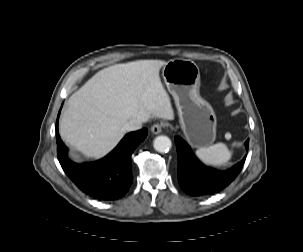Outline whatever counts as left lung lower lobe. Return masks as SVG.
Returning a JSON list of instances; mask_svg holds the SVG:
<instances>
[{"instance_id":"obj_1","label":"left lung lower lobe","mask_w":303,"mask_h":252,"mask_svg":"<svg viewBox=\"0 0 303 252\" xmlns=\"http://www.w3.org/2000/svg\"><path fill=\"white\" fill-rule=\"evenodd\" d=\"M249 140L245 142L248 149ZM178 155V181L182 190L194 196L217 193L228 186L240 173L245 158L226 171H218L203 165L192 153L189 145L175 137Z\"/></svg>"}]
</instances>
